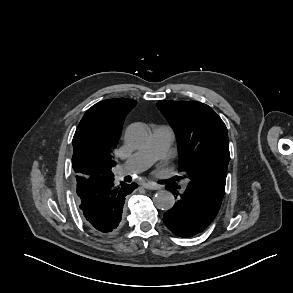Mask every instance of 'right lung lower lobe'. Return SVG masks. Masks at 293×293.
Masks as SVG:
<instances>
[{"mask_svg":"<svg viewBox=\"0 0 293 293\" xmlns=\"http://www.w3.org/2000/svg\"><path fill=\"white\" fill-rule=\"evenodd\" d=\"M114 177H76L77 201L86 225L99 234H110L123 224L125 197L138 187L136 183L115 186Z\"/></svg>","mask_w":293,"mask_h":293,"instance_id":"right-lung-lower-lobe-1","label":"right lung lower lobe"}]
</instances>
